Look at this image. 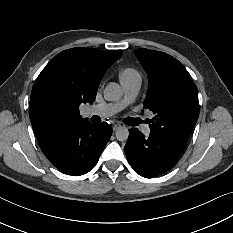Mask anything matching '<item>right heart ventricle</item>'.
<instances>
[{"label": "right heart ventricle", "instance_id": "right-heart-ventricle-1", "mask_svg": "<svg viewBox=\"0 0 233 233\" xmlns=\"http://www.w3.org/2000/svg\"><path fill=\"white\" fill-rule=\"evenodd\" d=\"M119 79L123 83H136L142 81L140 72L131 66L124 67L119 72Z\"/></svg>", "mask_w": 233, "mask_h": 233}]
</instances>
